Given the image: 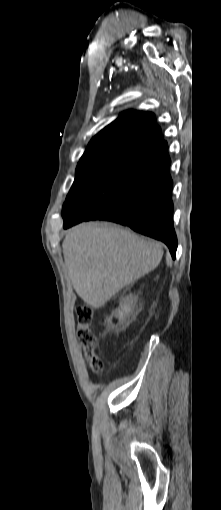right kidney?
Listing matches in <instances>:
<instances>
[{
  "mask_svg": "<svg viewBox=\"0 0 221 510\" xmlns=\"http://www.w3.org/2000/svg\"><path fill=\"white\" fill-rule=\"evenodd\" d=\"M133 304L134 300L131 295L123 299L120 308H118V310L115 312L120 320H123L130 314V312L132 311Z\"/></svg>",
  "mask_w": 221,
  "mask_h": 510,
  "instance_id": "obj_1",
  "label": "right kidney"
}]
</instances>
